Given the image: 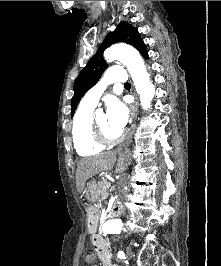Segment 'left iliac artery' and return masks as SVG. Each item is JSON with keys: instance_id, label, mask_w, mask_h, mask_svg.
Here are the masks:
<instances>
[{"instance_id": "left-iliac-artery-1", "label": "left iliac artery", "mask_w": 221, "mask_h": 266, "mask_svg": "<svg viewBox=\"0 0 221 266\" xmlns=\"http://www.w3.org/2000/svg\"><path fill=\"white\" fill-rule=\"evenodd\" d=\"M118 258H125V254L122 251L118 252Z\"/></svg>"}]
</instances>
